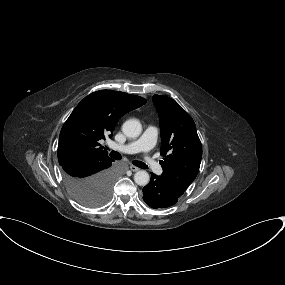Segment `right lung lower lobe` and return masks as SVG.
Segmentation results:
<instances>
[{"label":"right lung lower lobe","mask_w":285,"mask_h":285,"mask_svg":"<svg viewBox=\"0 0 285 285\" xmlns=\"http://www.w3.org/2000/svg\"><path fill=\"white\" fill-rule=\"evenodd\" d=\"M113 160L105 155L87 156L62 165L65 182H104L110 184L115 178Z\"/></svg>","instance_id":"98d812e1"}]
</instances>
